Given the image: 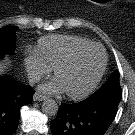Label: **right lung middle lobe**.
<instances>
[{
  "mask_svg": "<svg viewBox=\"0 0 135 135\" xmlns=\"http://www.w3.org/2000/svg\"><path fill=\"white\" fill-rule=\"evenodd\" d=\"M18 27L6 26L0 29V57L12 53L15 48V33Z\"/></svg>",
  "mask_w": 135,
  "mask_h": 135,
  "instance_id": "right-lung-middle-lobe-1",
  "label": "right lung middle lobe"
}]
</instances>
